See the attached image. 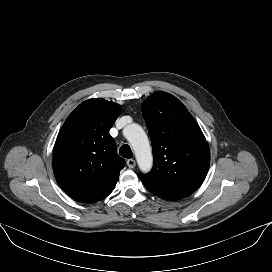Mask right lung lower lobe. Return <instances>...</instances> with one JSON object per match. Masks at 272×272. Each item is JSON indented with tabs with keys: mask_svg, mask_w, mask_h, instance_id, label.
Returning a JSON list of instances; mask_svg holds the SVG:
<instances>
[{
	"mask_svg": "<svg viewBox=\"0 0 272 272\" xmlns=\"http://www.w3.org/2000/svg\"><path fill=\"white\" fill-rule=\"evenodd\" d=\"M114 187H115V186H114ZM114 187H113L112 189H110L108 192H106L99 200H102V199H104L105 197H107V196L113 191ZM99 200H98V201H99Z\"/></svg>",
	"mask_w": 272,
	"mask_h": 272,
	"instance_id": "1",
	"label": "right lung lower lobe"
}]
</instances>
